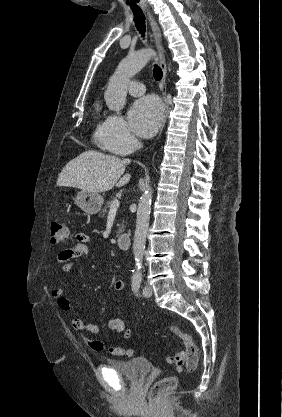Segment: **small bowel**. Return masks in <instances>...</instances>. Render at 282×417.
<instances>
[{"label": "small bowel", "instance_id": "small-bowel-1", "mask_svg": "<svg viewBox=\"0 0 282 417\" xmlns=\"http://www.w3.org/2000/svg\"><path fill=\"white\" fill-rule=\"evenodd\" d=\"M75 241L76 242L72 247L62 251L58 256V268L63 273H66L73 268L75 259L81 258L88 253L89 236L87 233L83 231L77 232L75 235ZM124 288L125 283L122 280H116L113 283V289L116 292H121ZM51 296L56 301L60 310L68 312L71 309L70 300L66 297L62 288H54L51 292ZM72 327L84 343L94 352H103L109 349L110 344L91 337L92 334L100 332L99 325L86 324L80 318H73ZM108 327L112 333L121 334L122 339L124 340L130 338L132 334V331L125 327V324L121 319L109 320Z\"/></svg>", "mask_w": 282, "mask_h": 417}]
</instances>
